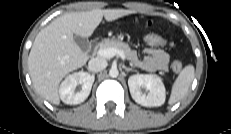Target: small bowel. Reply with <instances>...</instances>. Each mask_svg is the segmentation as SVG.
<instances>
[{"instance_id":"c3829d8e","label":"small bowel","mask_w":231,"mask_h":134,"mask_svg":"<svg viewBox=\"0 0 231 134\" xmlns=\"http://www.w3.org/2000/svg\"><path fill=\"white\" fill-rule=\"evenodd\" d=\"M121 21L127 25H138L139 19L133 15H125L121 18ZM144 26L147 28H153L155 26L152 20H145ZM146 56L143 59L138 58L135 53L131 54L132 62L148 71H164L168 68L169 55L168 53L157 47H149L145 49Z\"/></svg>"}]
</instances>
